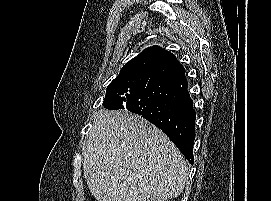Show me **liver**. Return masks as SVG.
Segmentation results:
<instances>
[{
	"label": "liver",
	"mask_w": 271,
	"mask_h": 201,
	"mask_svg": "<svg viewBox=\"0 0 271 201\" xmlns=\"http://www.w3.org/2000/svg\"><path fill=\"white\" fill-rule=\"evenodd\" d=\"M83 154V173L98 201H166L185 187L187 163L178 148L128 111H100Z\"/></svg>",
	"instance_id": "obj_1"
}]
</instances>
